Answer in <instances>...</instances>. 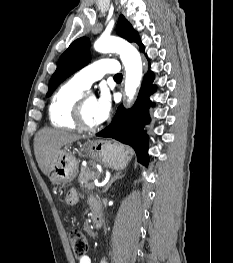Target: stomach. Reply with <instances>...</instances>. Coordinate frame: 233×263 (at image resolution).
Listing matches in <instances>:
<instances>
[{"mask_svg":"<svg viewBox=\"0 0 233 263\" xmlns=\"http://www.w3.org/2000/svg\"><path fill=\"white\" fill-rule=\"evenodd\" d=\"M86 146L91 157L115 170L125 168L132 157V152L128 147L106 140L88 141ZM77 172L78 162L65 147L54 159L48 176L52 184L64 187L76 177Z\"/></svg>","mask_w":233,"mask_h":263,"instance_id":"0dacf381","label":"stomach"}]
</instances>
